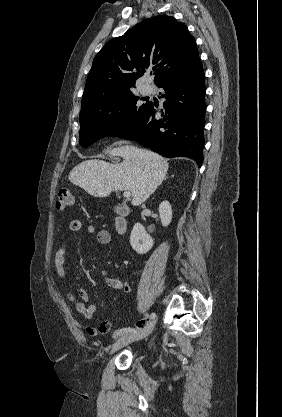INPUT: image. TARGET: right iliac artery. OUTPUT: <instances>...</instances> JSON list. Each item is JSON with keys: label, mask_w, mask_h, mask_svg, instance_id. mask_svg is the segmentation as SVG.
Masks as SVG:
<instances>
[{"label": "right iliac artery", "mask_w": 282, "mask_h": 417, "mask_svg": "<svg viewBox=\"0 0 282 417\" xmlns=\"http://www.w3.org/2000/svg\"><path fill=\"white\" fill-rule=\"evenodd\" d=\"M156 317L155 313H151L150 318L154 319ZM139 329L138 328H122V329H118L114 332L113 334V338H117L118 336L124 334V333H136Z\"/></svg>", "instance_id": "82829eb1"}]
</instances>
